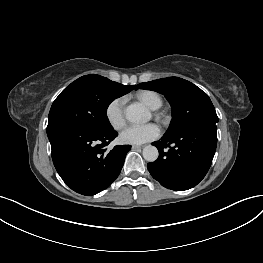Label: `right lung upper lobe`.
Instances as JSON below:
<instances>
[{
	"label": "right lung upper lobe",
	"mask_w": 263,
	"mask_h": 263,
	"mask_svg": "<svg viewBox=\"0 0 263 263\" xmlns=\"http://www.w3.org/2000/svg\"><path fill=\"white\" fill-rule=\"evenodd\" d=\"M90 75H95V74H90ZM95 76H100V75H95ZM100 77H102V76H100ZM102 78H105V77H102ZM105 79H107V78H105ZM107 80L110 81L119 90H121V91H123L125 93H128V92H130L131 90H133L135 88V85H122V84H119L117 82H113V81H111L109 79H107Z\"/></svg>",
	"instance_id": "cb5924a9"
}]
</instances>
